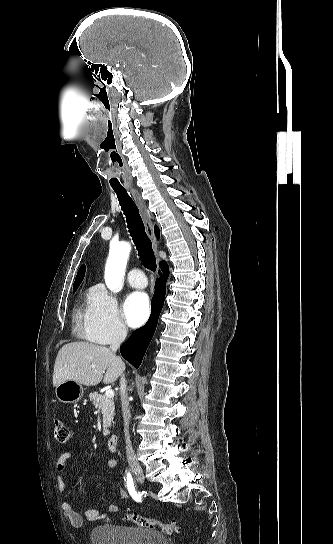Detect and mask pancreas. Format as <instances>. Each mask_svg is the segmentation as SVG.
Returning <instances> with one entry per match:
<instances>
[{
    "label": "pancreas",
    "instance_id": "obj_1",
    "mask_svg": "<svg viewBox=\"0 0 333 544\" xmlns=\"http://www.w3.org/2000/svg\"><path fill=\"white\" fill-rule=\"evenodd\" d=\"M90 401L95 408L100 409L103 415V435H108L110 431L111 422L114 418V402L112 398H108L106 395L93 392L89 394Z\"/></svg>",
    "mask_w": 333,
    "mask_h": 544
}]
</instances>
